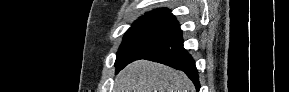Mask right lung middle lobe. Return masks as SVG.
Returning <instances> with one entry per match:
<instances>
[{
	"label": "right lung middle lobe",
	"mask_w": 289,
	"mask_h": 92,
	"mask_svg": "<svg viewBox=\"0 0 289 92\" xmlns=\"http://www.w3.org/2000/svg\"><path fill=\"white\" fill-rule=\"evenodd\" d=\"M182 40L179 25L137 20L125 32L115 61L116 73L130 62L146 57Z\"/></svg>",
	"instance_id": "1"
}]
</instances>
